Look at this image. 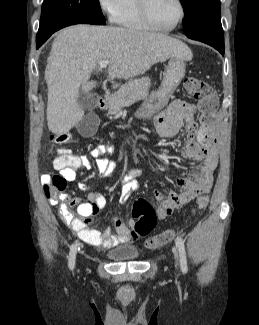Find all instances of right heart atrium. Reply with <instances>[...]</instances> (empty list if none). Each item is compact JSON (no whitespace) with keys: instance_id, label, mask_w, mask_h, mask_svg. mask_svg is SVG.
I'll list each match as a JSON object with an SVG mask.
<instances>
[{"instance_id":"right-heart-atrium-1","label":"right heart atrium","mask_w":259,"mask_h":325,"mask_svg":"<svg viewBox=\"0 0 259 325\" xmlns=\"http://www.w3.org/2000/svg\"><path fill=\"white\" fill-rule=\"evenodd\" d=\"M124 0H98L102 12L111 20H115L119 14Z\"/></svg>"}]
</instances>
